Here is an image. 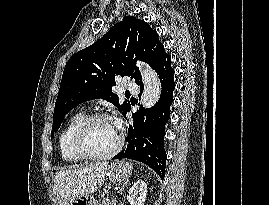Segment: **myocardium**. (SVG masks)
I'll list each match as a JSON object with an SVG mask.
<instances>
[{"mask_svg": "<svg viewBox=\"0 0 269 205\" xmlns=\"http://www.w3.org/2000/svg\"><path fill=\"white\" fill-rule=\"evenodd\" d=\"M99 120H109L113 119L104 113H95L90 116H87L77 127L73 135V148L76 153L83 159L87 160H105L114 157L120 152L124 144V137L122 133L118 130V139L117 143L112 150L104 154H93L86 150L84 146V136L88 128L95 122Z\"/></svg>", "mask_w": 269, "mask_h": 205, "instance_id": "f54148a6", "label": "myocardium"}]
</instances>
